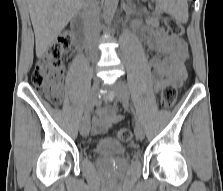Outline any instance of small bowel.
I'll use <instances>...</instances> for the list:
<instances>
[{"label": "small bowel", "instance_id": "c3829d8e", "mask_svg": "<svg viewBox=\"0 0 223 191\" xmlns=\"http://www.w3.org/2000/svg\"><path fill=\"white\" fill-rule=\"evenodd\" d=\"M142 29L146 35L148 48L157 54L149 62L155 92L161 91L167 83L180 86L186 77L184 65L188 58L186 42L159 28L158 21L154 18L148 19ZM121 119L122 116L115 105L99 107L91 120L92 134H105L113 123Z\"/></svg>", "mask_w": 223, "mask_h": 191}]
</instances>
